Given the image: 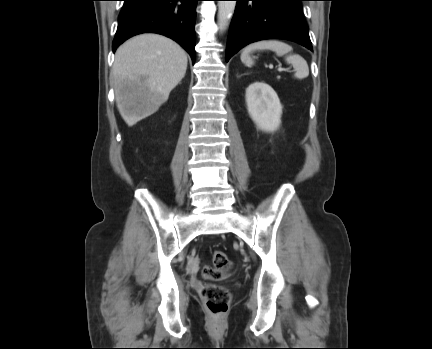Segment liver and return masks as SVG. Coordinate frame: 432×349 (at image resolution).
Instances as JSON below:
<instances>
[{
  "label": "liver",
  "mask_w": 432,
  "mask_h": 349,
  "mask_svg": "<svg viewBox=\"0 0 432 349\" xmlns=\"http://www.w3.org/2000/svg\"><path fill=\"white\" fill-rule=\"evenodd\" d=\"M186 52L158 34H141L115 53L113 78L118 110L129 126L154 114L185 76Z\"/></svg>",
  "instance_id": "1"
}]
</instances>
